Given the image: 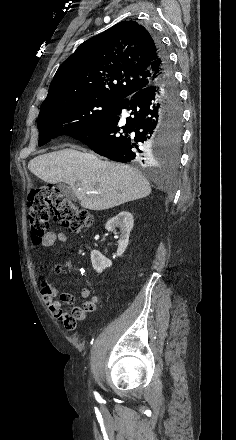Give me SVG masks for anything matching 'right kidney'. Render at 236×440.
Masks as SVG:
<instances>
[{
	"label": "right kidney",
	"mask_w": 236,
	"mask_h": 440,
	"mask_svg": "<svg viewBox=\"0 0 236 440\" xmlns=\"http://www.w3.org/2000/svg\"><path fill=\"white\" fill-rule=\"evenodd\" d=\"M134 226L133 215L128 211H122L115 217L111 218L105 225L108 231H115L117 227L120 228V238L118 240L117 256H122L125 252L128 243L129 235ZM91 262L93 269L102 273L103 270L112 265V261L103 256L98 250L91 251Z\"/></svg>",
	"instance_id": "1"
}]
</instances>
